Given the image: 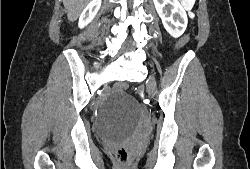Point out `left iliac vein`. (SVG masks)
Segmentation results:
<instances>
[{
	"label": "left iliac vein",
	"mask_w": 250,
	"mask_h": 169,
	"mask_svg": "<svg viewBox=\"0 0 250 169\" xmlns=\"http://www.w3.org/2000/svg\"><path fill=\"white\" fill-rule=\"evenodd\" d=\"M155 89H156V80L154 76H151L148 80V89H147L150 96H152L155 93Z\"/></svg>",
	"instance_id": "obj_1"
}]
</instances>
